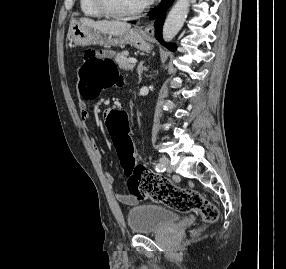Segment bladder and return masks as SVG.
<instances>
[{
	"mask_svg": "<svg viewBox=\"0 0 286 269\" xmlns=\"http://www.w3.org/2000/svg\"><path fill=\"white\" fill-rule=\"evenodd\" d=\"M179 219V214L158 205H139L129 209L127 213L129 229L137 235L167 229Z\"/></svg>",
	"mask_w": 286,
	"mask_h": 269,
	"instance_id": "bladder-1",
	"label": "bladder"
}]
</instances>
